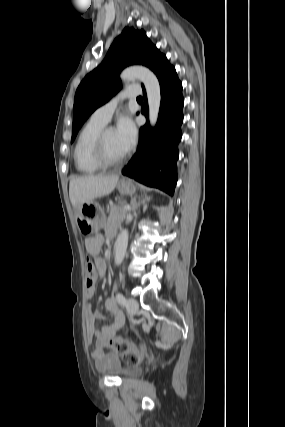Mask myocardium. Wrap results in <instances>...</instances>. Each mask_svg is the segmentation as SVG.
I'll use <instances>...</instances> for the list:
<instances>
[{
	"label": "myocardium",
	"instance_id": "1",
	"mask_svg": "<svg viewBox=\"0 0 285 427\" xmlns=\"http://www.w3.org/2000/svg\"><path fill=\"white\" fill-rule=\"evenodd\" d=\"M107 131L108 128H105L98 134L92 148L93 159L101 168H112L119 166L129 157V153H126L124 156L118 159H110L108 157L105 143Z\"/></svg>",
	"mask_w": 285,
	"mask_h": 427
}]
</instances>
